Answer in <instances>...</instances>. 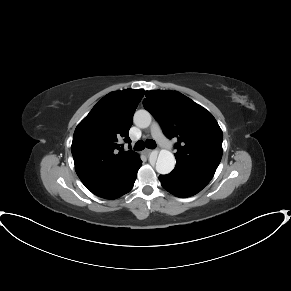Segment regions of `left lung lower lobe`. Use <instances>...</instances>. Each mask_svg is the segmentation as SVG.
I'll return each mask as SVG.
<instances>
[{"label": "left lung lower lobe", "mask_w": 291, "mask_h": 291, "mask_svg": "<svg viewBox=\"0 0 291 291\" xmlns=\"http://www.w3.org/2000/svg\"><path fill=\"white\" fill-rule=\"evenodd\" d=\"M213 174L175 166L168 175H160L164 189L173 195L186 198L201 191L212 179Z\"/></svg>", "instance_id": "left-lung-lower-lobe-1"}]
</instances>
